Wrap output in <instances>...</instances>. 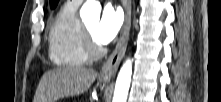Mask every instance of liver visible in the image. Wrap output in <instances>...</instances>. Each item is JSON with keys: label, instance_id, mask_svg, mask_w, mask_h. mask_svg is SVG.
<instances>
[{"label": "liver", "instance_id": "6515ba94", "mask_svg": "<svg viewBox=\"0 0 221 102\" xmlns=\"http://www.w3.org/2000/svg\"><path fill=\"white\" fill-rule=\"evenodd\" d=\"M97 72L81 67H60L46 72L37 87L33 102H57L87 91Z\"/></svg>", "mask_w": 221, "mask_h": 102}]
</instances>
